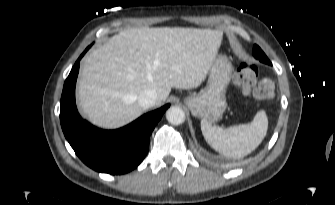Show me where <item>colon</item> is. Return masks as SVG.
I'll use <instances>...</instances> for the list:
<instances>
[{"instance_id": "5ec220e1", "label": "colon", "mask_w": 335, "mask_h": 205, "mask_svg": "<svg viewBox=\"0 0 335 205\" xmlns=\"http://www.w3.org/2000/svg\"><path fill=\"white\" fill-rule=\"evenodd\" d=\"M258 72L255 65L242 63L234 74V82L244 94L252 95L258 99H270L274 96L275 87L270 79L258 81Z\"/></svg>"}]
</instances>
